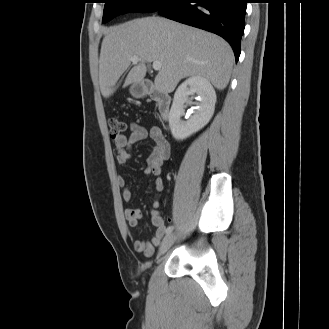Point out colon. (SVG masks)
Instances as JSON below:
<instances>
[{"instance_id":"5ec220e1","label":"colon","mask_w":329,"mask_h":329,"mask_svg":"<svg viewBox=\"0 0 329 329\" xmlns=\"http://www.w3.org/2000/svg\"><path fill=\"white\" fill-rule=\"evenodd\" d=\"M109 132L112 138H118L124 135L126 124L116 117H111L108 120Z\"/></svg>"}]
</instances>
